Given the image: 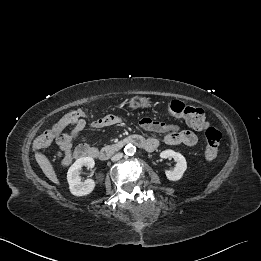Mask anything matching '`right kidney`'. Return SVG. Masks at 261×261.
<instances>
[{
    "mask_svg": "<svg viewBox=\"0 0 261 261\" xmlns=\"http://www.w3.org/2000/svg\"><path fill=\"white\" fill-rule=\"evenodd\" d=\"M94 165V159L91 157L79 158L71 165L67 172V181L69 183L70 192L73 195L86 196L94 190L96 182L93 179H86L82 182L79 176L80 169L83 166L93 168Z\"/></svg>",
    "mask_w": 261,
    "mask_h": 261,
    "instance_id": "obj_1",
    "label": "right kidney"
}]
</instances>
